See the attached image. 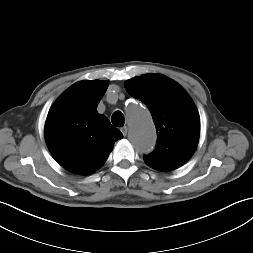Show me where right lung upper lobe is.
Returning <instances> with one entry per match:
<instances>
[{"label":"right lung upper lobe","mask_w":253,"mask_h":253,"mask_svg":"<svg viewBox=\"0 0 253 253\" xmlns=\"http://www.w3.org/2000/svg\"><path fill=\"white\" fill-rule=\"evenodd\" d=\"M107 81L84 80L69 87L49 110L45 140L55 160L70 172L87 175L107 160L123 138L97 106Z\"/></svg>","instance_id":"right-lung-upper-lobe-1"}]
</instances>
